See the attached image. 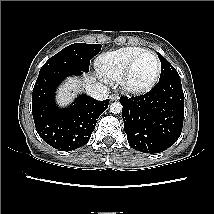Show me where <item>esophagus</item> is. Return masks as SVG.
<instances>
[{"label":"esophagus","mask_w":214,"mask_h":214,"mask_svg":"<svg viewBox=\"0 0 214 214\" xmlns=\"http://www.w3.org/2000/svg\"><path fill=\"white\" fill-rule=\"evenodd\" d=\"M110 100L111 101H117V100H119V95L118 94H111L110 95Z\"/></svg>","instance_id":"1"}]
</instances>
